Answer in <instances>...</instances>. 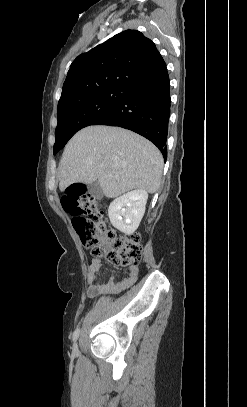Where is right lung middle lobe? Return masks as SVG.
<instances>
[{"instance_id": "1", "label": "right lung middle lobe", "mask_w": 247, "mask_h": 407, "mask_svg": "<svg viewBox=\"0 0 247 407\" xmlns=\"http://www.w3.org/2000/svg\"><path fill=\"white\" fill-rule=\"evenodd\" d=\"M131 91L125 86L110 87L58 107L53 153L61 150L77 131L108 114Z\"/></svg>"}]
</instances>
